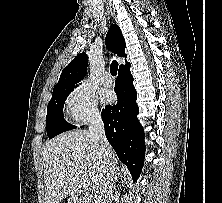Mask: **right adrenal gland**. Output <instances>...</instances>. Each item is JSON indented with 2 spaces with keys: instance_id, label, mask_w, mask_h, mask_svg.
Returning <instances> with one entry per match:
<instances>
[{
  "instance_id": "right-adrenal-gland-1",
  "label": "right adrenal gland",
  "mask_w": 222,
  "mask_h": 203,
  "mask_svg": "<svg viewBox=\"0 0 222 203\" xmlns=\"http://www.w3.org/2000/svg\"><path fill=\"white\" fill-rule=\"evenodd\" d=\"M119 178L122 180V175L120 173H118L117 176H115V180L112 185L114 189H115V184L119 180Z\"/></svg>"
}]
</instances>
